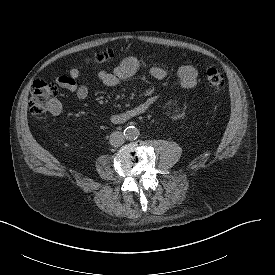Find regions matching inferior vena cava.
<instances>
[{"label": "inferior vena cava", "instance_id": "inferior-vena-cava-1", "mask_svg": "<svg viewBox=\"0 0 275 275\" xmlns=\"http://www.w3.org/2000/svg\"><path fill=\"white\" fill-rule=\"evenodd\" d=\"M125 136L121 132H113L110 135V144L114 147H118L124 143Z\"/></svg>", "mask_w": 275, "mask_h": 275}]
</instances>
